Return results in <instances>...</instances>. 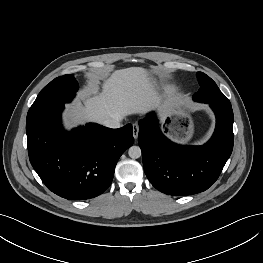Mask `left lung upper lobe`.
I'll return each mask as SVG.
<instances>
[{
	"label": "left lung upper lobe",
	"mask_w": 263,
	"mask_h": 263,
	"mask_svg": "<svg viewBox=\"0 0 263 263\" xmlns=\"http://www.w3.org/2000/svg\"><path fill=\"white\" fill-rule=\"evenodd\" d=\"M197 77L201 87L193 96L194 101L226 105L230 104V101L220 91L216 83L209 76L202 72H197Z\"/></svg>",
	"instance_id": "1"
}]
</instances>
